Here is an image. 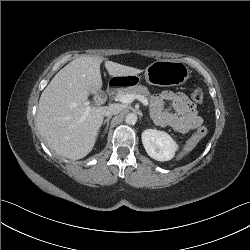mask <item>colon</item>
Masks as SVG:
<instances>
[{"label": "colon", "instance_id": "colon-1", "mask_svg": "<svg viewBox=\"0 0 250 250\" xmlns=\"http://www.w3.org/2000/svg\"><path fill=\"white\" fill-rule=\"evenodd\" d=\"M190 98L193 102L200 104L203 102L204 95L202 90L194 89ZM207 134V128L202 126L200 127L187 141L186 147H182L176 151V154L171 157V163L173 165H178L183 161V158L189 154V150H192L198 142Z\"/></svg>", "mask_w": 250, "mask_h": 250}]
</instances>
